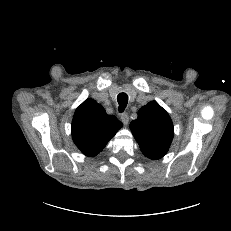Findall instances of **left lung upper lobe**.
Instances as JSON below:
<instances>
[{
    "instance_id": "1",
    "label": "left lung upper lobe",
    "mask_w": 231,
    "mask_h": 231,
    "mask_svg": "<svg viewBox=\"0 0 231 231\" xmlns=\"http://www.w3.org/2000/svg\"><path fill=\"white\" fill-rule=\"evenodd\" d=\"M130 129L146 157L157 160L168 152L174 135L173 123L156 101L138 111V118L130 123Z\"/></svg>"
}]
</instances>
